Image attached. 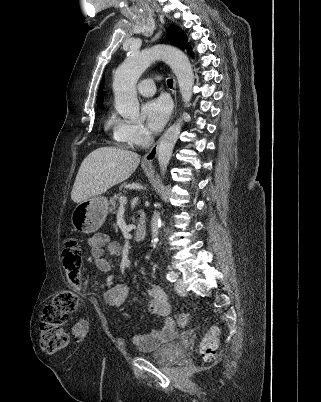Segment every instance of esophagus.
<instances>
[{"mask_svg":"<svg viewBox=\"0 0 321 402\" xmlns=\"http://www.w3.org/2000/svg\"><path fill=\"white\" fill-rule=\"evenodd\" d=\"M175 88H176V80L174 79V90H173V95H174V99H175V107H174V111H173V116L171 118V121L174 118V113L176 110V93H175ZM158 147H159V141L149 150V152H147L143 159L142 162L146 165H151L153 160L156 158L157 156V152H158Z\"/></svg>","mask_w":321,"mask_h":402,"instance_id":"34e87169","label":"esophagus"}]
</instances>
